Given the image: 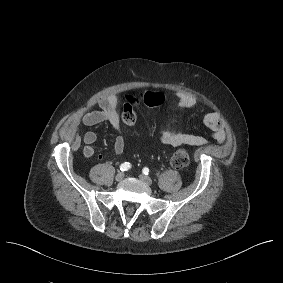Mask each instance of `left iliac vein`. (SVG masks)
<instances>
[{"instance_id":"left-iliac-vein-1","label":"left iliac vein","mask_w":283,"mask_h":283,"mask_svg":"<svg viewBox=\"0 0 283 283\" xmlns=\"http://www.w3.org/2000/svg\"><path fill=\"white\" fill-rule=\"evenodd\" d=\"M139 179L141 180V181H143L144 183H146L147 185H152V180H151V178L150 177H148V176H146V175H139Z\"/></svg>"}]
</instances>
